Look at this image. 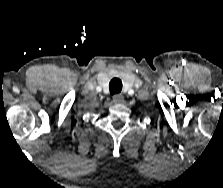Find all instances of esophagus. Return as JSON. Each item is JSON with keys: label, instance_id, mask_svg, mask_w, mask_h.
Wrapping results in <instances>:
<instances>
[{"label": "esophagus", "instance_id": "34e87169", "mask_svg": "<svg viewBox=\"0 0 223 188\" xmlns=\"http://www.w3.org/2000/svg\"><path fill=\"white\" fill-rule=\"evenodd\" d=\"M113 102L118 104V103H123L124 102V97L121 94H116L113 97Z\"/></svg>", "mask_w": 223, "mask_h": 188}]
</instances>
